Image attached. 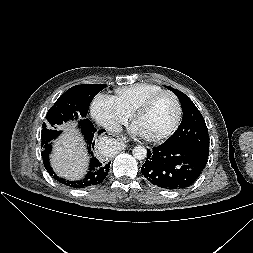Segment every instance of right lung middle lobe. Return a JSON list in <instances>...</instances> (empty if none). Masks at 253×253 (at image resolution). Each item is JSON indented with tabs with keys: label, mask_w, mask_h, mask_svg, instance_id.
<instances>
[{
	"label": "right lung middle lobe",
	"mask_w": 253,
	"mask_h": 253,
	"mask_svg": "<svg viewBox=\"0 0 253 253\" xmlns=\"http://www.w3.org/2000/svg\"><path fill=\"white\" fill-rule=\"evenodd\" d=\"M106 87L104 84H83L76 85L68 89L58 98L55 104L49 109L46 115V121L42 125V143H51L60 131L59 125L69 120L80 118V126L89 124L86 119L89 105L95 95ZM83 117V118H81Z\"/></svg>",
	"instance_id": "obj_1"
}]
</instances>
